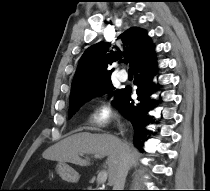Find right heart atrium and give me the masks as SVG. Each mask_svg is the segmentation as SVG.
<instances>
[{
	"label": "right heart atrium",
	"instance_id": "d8ad5b80",
	"mask_svg": "<svg viewBox=\"0 0 210 191\" xmlns=\"http://www.w3.org/2000/svg\"><path fill=\"white\" fill-rule=\"evenodd\" d=\"M113 115V107L110 102L98 105L91 115V121L98 125L106 124Z\"/></svg>",
	"mask_w": 210,
	"mask_h": 191
}]
</instances>
